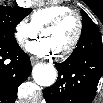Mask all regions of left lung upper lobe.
Listing matches in <instances>:
<instances>
[{
    "label": "left lung upper lobe",
    "mask_w": 103,
    "mask_h": 103,
    "mask_svg": "<svg viewBox=\"0 0 103 103\" xmlns=\"http://www.w3.org/2000/svg\"><path fill=\"white\" fill-rule=\"evenodd\" d=\"M81 15L83 17L82 19V33L90 30V29H95L98 28L95 23L91 20V18L84 12L81 11Z\"/></svg>",
    "instance_id": "5c2ea615"
}]
</instances>
